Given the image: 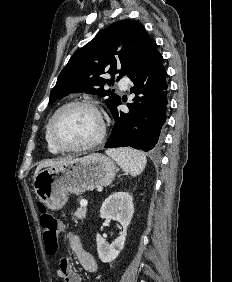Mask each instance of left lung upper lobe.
I'll return each mask as SVG.
<instances>
[{
    "instance_id": "left-lung-upper-lobe-1",
    "label": "left lung upper lobe",
    "mask_w": 232,
    "mask_h": 282,
    "mask_svg": "<svg viewBox=\"0 0 232 282\" xmlns=\"http://www.w3.org/2000/svg\"><path fill=\"white\" fill-rule=\"evenodd\" d=\"M152 40L138 21L122 20L103 29L70 58L50 92L49 104L71 93L85 92L108 96L105 103L111 110L120 97L104 89L105 85L114 83V77L107 80L101 75L118 73L117 80L127 76Z\"/></svg>"
}]
</instances>
